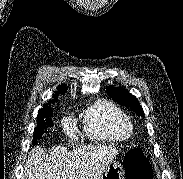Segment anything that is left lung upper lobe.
Masks as SVG:
<instances>
[{
	"instance_id": "left-lung-upper-lobe-1",
	"label": "left lung upper lobe",
	"mask_w": 183,
	"mask_h": 179,
	"mask_svg": "<svg viewBox=\"0 0 183 179\" xmlns=\"http://www.w3.org/2000/svg\"><path fill=\"white\" fill-rule=\"evenodd\" d=\"M110 97L117 103L130 107L135 113L144 116L143 109L139 101L135 96L129 94L127 89H123L122 87H112L111 85L107 86Z\"/></svg>"
}]
</instances>
